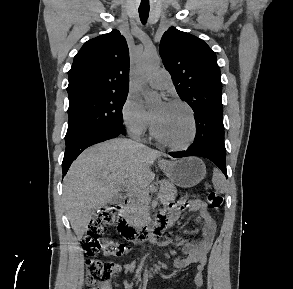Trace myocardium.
I'll use <instances>...</instances> for the list:
<instances>
[{
	"label": "myocardium",
	"mask_w": 293,
	"mask_h": 289,
	"mask_svg": "<svg viewBox=\"0 0 293 289\" xmlns=\"http://www.w3.org/2000/svg\"><path fill=\"white\" fill-rule=\"evenodd\" d=\"M170 103L175 105H181L188 111L190 120H191V133L189 138L184 143H181V144L168 142L159 136V134L156 131L154 122H152V125H151V135L159 144L165 147H168L174 150H186L193 145L197 137V121H196L195 112L193 108L187 102L183 100L174 99Z\"/></svg>",
	"instance_id": "obj_1"
}]
</instances>
